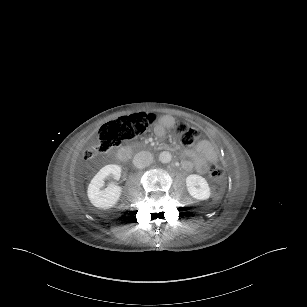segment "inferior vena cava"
<instances>
[{"instance_id": "602c4592", "label": "inferior vena cava", "mask_w": 307, "mask_h": 307, "mask_svg": "<svg viewBox=\"0 0 307 307\" xmlns=\"http://www.w3.org/2000/svg\"><path fill=\"white\" fill-rule=\"evenodd\" d=\"M147 157H148L149 161H147V160L144 158V156H143V154H142L141 152H140V153H137V154L134 156V158H133V164H134L137 168L143 169V168H145V167L149 164V162H150V160H151V155H150V154H147Z\"/></svg>"}]
</instances>
